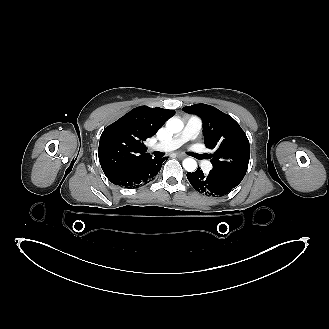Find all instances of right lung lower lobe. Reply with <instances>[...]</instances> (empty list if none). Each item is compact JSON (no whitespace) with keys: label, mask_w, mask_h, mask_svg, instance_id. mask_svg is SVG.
<instances>
[{"label":"right lung lower lobe","mask_w":329,"mask_h":329,"mask_svg":"<svg viewBox=\"0 0 329 329\" xmlns=\"http://www.w3.org/2000/svg\"><path fill=\"white\" fill-rule=\"evenodd\" d=\"M165 159L166 157L148 158L127 171L107 176V178L117 186L135 188L151 181L158 174Z\"/></svg>","instance_id":"obj_1"}]
</instances>
